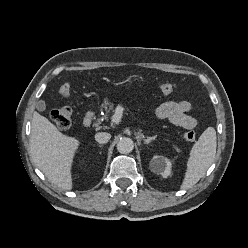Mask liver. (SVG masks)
I'll use <instances>...</instances> for the list:
<instances>
[{
  "label": "liver",
  "mask_w": 248,
  "mask_h": 248,
  "mask_svg": "<svg viewBox=\"0 0 248 248\" xmlns=\"http://www.w3.org/2000/svg\"><path fill=\"white\" fill-rule=\"evenodd\" d=\"M79 145L78 139L64 135L46 117L33 113L31 157L48 180L59 188H72L71 166Z\"/></svg>",
  "instance_id": "obj_1"
}]
</instances>
